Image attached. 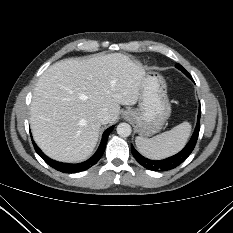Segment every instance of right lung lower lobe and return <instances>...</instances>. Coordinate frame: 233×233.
<instances>
[{
	"label": "right lung lower lobe",
	"mask_w": 233,
	"mask_h": 233,
	"mask_svg": "<svg viewBox=\"0 0 233 233\" xmlns=\"http://www.w3.org/2000/svg\"><path fill=\"white\" fill-rule=\"evenodd\" d=\"M113 128H114V126H111L107 130L104 131L101 143H100L99 148L96 151V153L89 160L82 162V163H78V164H67V163H61V162L54 161V160L50 159L49 157H47L38 148V146L34 143L33 140H32V142H33L35 151L49 166H51L52 168H54L60 172H63V173H76V172H80V171H83V170L90 168L91 166H93L94 164H96L99 161V159L101 158V156L104 153L108 136L111 133V131L113 130Z\"/></svg>",
	"instance_id": "98d812e1"
}]
</instances>
